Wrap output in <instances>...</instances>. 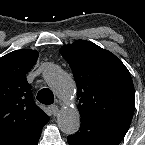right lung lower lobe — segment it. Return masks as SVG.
<instances>
[{
  "instance_id": "1",
  "label": "right lung lower lobe",
  "mask_w": 145,
  "mask_h": 145,
  "mask_svg": "<svg viewBox=\"0 0 145 145\" xmlns=\"http://www.w3.org/2000/svg\"><path fill=\"white\" fill-rule=\"evenodd\" d=\"M41 130L32 133L30 135L25 136L23 139H21L19 142H17L15 145H37L38 140L41 135Z\"/></svg>"
}]
</instances>
